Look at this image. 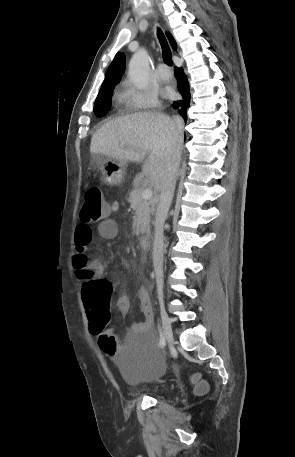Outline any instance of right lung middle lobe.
Instances as JSON below:
<instances>
[{
  "label": "right lung middle lobe",
  "mask_w": 295,
  "mask_h": 457,
  "mask_svg": "<svg viewBox=\"0 0 295 457\" xmlns=\"http://www.w3.org/2000/svg\"><path fill=\"white\" fill-rule=\"evenodd\" d=\"M114 87L100 89L94 105V113L98 117L104 116L111 107V97Z\"/></svg>",
  "instance_id": "obj_1"
}]
</instances>
